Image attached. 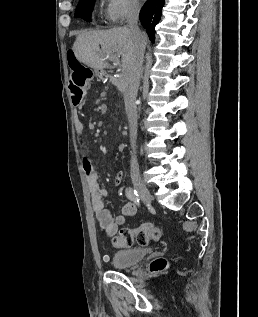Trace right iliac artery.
<instances>
[{
	"mask_svg": "<svg viewBox=\"0 0 258 317\" xmlns=\"http://www.w3.org/2000/svg\"><path fill=\"white\" fill-rule=\"evenodd\" d=\"M126 196L129 200L134 202L138 207L141 206L139 195L135 189L128 187L126 189Z\"/></svg>",
	"mask_w": 258,
	"mask_h": 317,
	"instance_id": "right-iliac-artery-1",
	"label": "right iliac artery"
}]
</instances>
